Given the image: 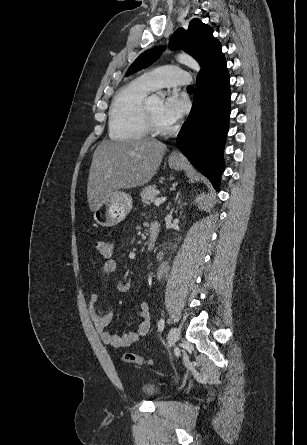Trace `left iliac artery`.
I'll use <instances>...</instances> for the list:
<instances>
[{
	"instance_id": "left-iliac-artery-1",
	"label": "left iliac artery",
	"mask_w": 307,
	"mask_h": 445,
	"mask_svg": "<svg viewBox=\"0 0 307 445\" xmlns=\"http://www.w3.org/2000/svg\"><path fill=\"white\" fill-rule=\"evenodd\" d=\"M164 327H165V320L161 318L158 322V330L161 332L163 331Z\"/></svg>"
}]
</instances>
